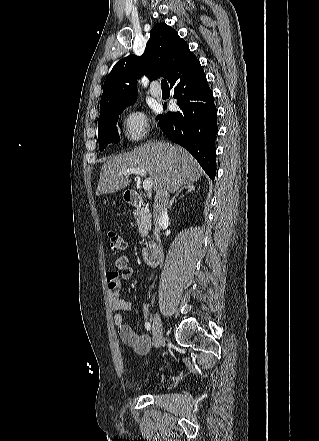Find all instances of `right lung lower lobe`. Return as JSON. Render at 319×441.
Returning a JSON list of instances; mask_svg holds the SVG:
<instances>
[{"instance_id":"obj_1","label":"right lung lower lobe","mask_w":319,"mask_h":441,"mask_svg":"<svg viewBox=\"0 0 319 441\" xmlns=\"http://www.w3.org/2000/svg\"><path fill=\"white\" fill-rule=\"evenodd\" d=\"M170 86L174 87L181 112L158 116L160 129L172 142L187 149L214 179L217 109L199 61L178 75Z\"/></svg>"}]
</instances>
